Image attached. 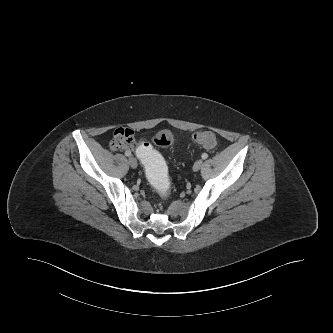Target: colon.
Segmentation results:
<instances>
[{"mask_svg": "<svg viewBox=\"0 0 333 333\" xmlns=\"http://www.w3.org/2000/svg\"><path fill=\"white\" fill-rule=\"evenodd\" d=\"M193 140L204 148H213L216 144L214 133L208 130L195 132ZM174 141L175 135L169 130L158 132L152 138L153 144L157 147H169ZM136 152L139 161L145 164L143 176L146 182L152 185L158 193H167L170 190L171 184L168 180L169 173L165 166L164 154L146 142L140 143L137 146Z\"/></svg>", "mask_w": 333, "mask_h": 333, "instance_id": "colon-1", "label": "colon"}]
</instances>
